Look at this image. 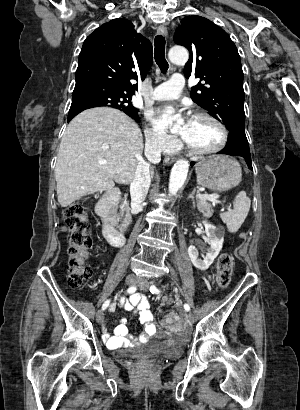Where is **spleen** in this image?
I'll return each instance as SVG.
<instances>
[{
	"label": "spleen",
	"mask_w": 300,
	"mask_h": 410,
	"mask_svg": "<svg viewBox=\"0 0 300 410\" xmlns=\"http://www.w3.org/2000/svg\"><path fill=\"white\" fill-rule=\"evenodd\" d=\"M234 209L220 215L222 221L227 225L231 233H236L248 215L251 200L245 192H240L234 199Z\"/></svg>",
	"instance_id": "3e777b00"
}]
</instances>
